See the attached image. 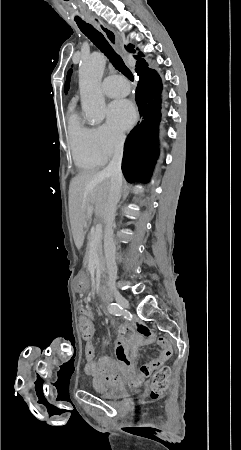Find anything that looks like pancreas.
Masks as SVG:
<instances>
[{"label": "pancreas", "mask_w": 241, "mask_h": 450, "mask_svg": "<svg viewBox=\"0 0 241 450\" xmlns=\"http://www.w3.org/2000/svg\"><path fill=\"white\" fill-rule=\"evenodd\" d=\"M89 238L91 240V238H92L91 234H90ZM95 246H96V252H97L99 264L101 266L102 276H103V278H106V276H105V262H104V258H103L102 238H99V240H96Z\"/></svg>", "instance_id": "pancreas-1"}]
</instances>
